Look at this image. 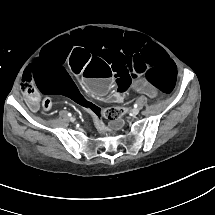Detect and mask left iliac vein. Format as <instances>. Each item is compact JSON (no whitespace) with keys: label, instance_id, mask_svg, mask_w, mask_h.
Masks as SVG:
<instances>
[{"label":"left iliac vein","instance_id":"4c4485c4","mask_svg":"<svg viewBox=\"0 0 215 215\" xmlns=\"http://www.w3.org/2000/svg\"><path fill=\"white\" fill-rule=\"evenodd\" d=\"M138 113H139V109L138 108H134V109L131 110V114L133 116H136Z\"/></svg>","mask_w":215,"mask_h":215}]
</instances>
